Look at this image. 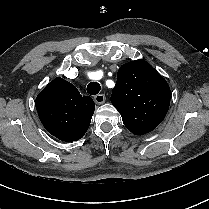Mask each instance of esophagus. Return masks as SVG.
Masks as SVG:
<instances>
[{
	"mask_svg": "<svg viewBox=\"0 0 209 209\" xmlns=\"http://www.w3.org/2000/svg\"><path fill=\"white\" fill-rule=\"evenodd\" d=\"M94 100L97 104H103L106 100V96H105V94H97L94 97Z\"/></svg>",
	"mask_w": 209,
	"mask_h": 209,
	"instance_id": "34e87169",
	"label": "esophagus"
}]
</instances>
